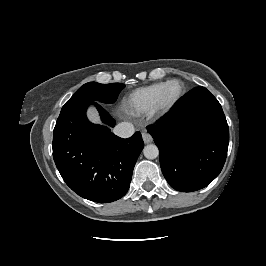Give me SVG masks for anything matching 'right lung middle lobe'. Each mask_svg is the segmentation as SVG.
<instances>
[{
	"mask_svg": "<svg viewBox=\"0 0 266 266\" xmlns=\"http://www.w3.org/2000/svg\"><path fill=\"white\" fill-rule=\"evenodd\" d=\"M125 87L121 83L100 84L89 82L81 86L73 96L64 104L58 119L63 118L68 112L78 105L87 102L113 103L120 91Z\"/></svg>",
	"mask_w": 266,
	"mask_h": 266,
	"instance_id": "1",
	"label": "right lung middle lobe"
}]
</instances>
